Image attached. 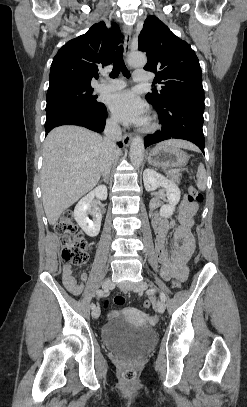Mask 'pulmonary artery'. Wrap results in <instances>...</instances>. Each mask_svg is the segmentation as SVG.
I'll list each match as a JSON object with an SVG mask.
<instances>
[{
    "mask_svg": "<svg viewBox=\"0 0 247 407\" xmlns=\"http://www.w3.org/2000/svg\"><path fill=\"white\" fill-rule=\"evenodd\" d=\"M150 80L149 73L142 70H136L133 75V81L136 83H146ZM126 87V83L123 80H111V81H101L96 85V90L98 92H111L116 90H121Z\"/></svg>",
    "mask_w": 247,
    "mask_h": 407,
    "instance_id": "1",
    "label": "pulmonary artery"
}]
</instances>
